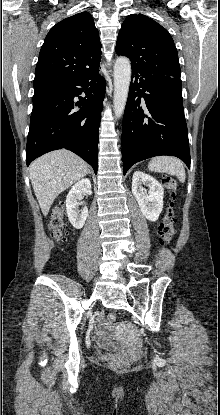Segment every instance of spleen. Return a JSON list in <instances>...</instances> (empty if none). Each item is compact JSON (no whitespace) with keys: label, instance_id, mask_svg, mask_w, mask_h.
Here are the masks:
<instances>
[{"label":"spleen","instance_id":"spleen-1","mask_svg":"<svg viewBox=\"0 0 220 415\" xmlns=\"http://www.w3.org/2000/svg\"><path fill=\"white\" fill-rule=\"evenodd\" d=\"M148 169L152 172L175 175L181 182H185L186 173L183 163L175 157H154L149 162Z\"/></svg>","mask_w":220,"mask_h":415}]
</instances>
